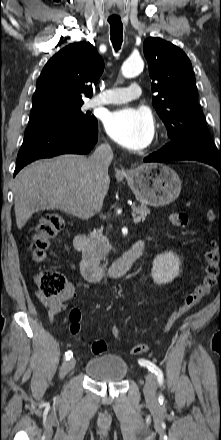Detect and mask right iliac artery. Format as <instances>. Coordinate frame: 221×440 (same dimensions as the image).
Here are the masks:
<instances>
[{
  "instance_id": "1",
  "label": "right iliac artery",
  "mask_w": 221,
  "mask_h": 440,
  "mask_svg": "<svg viewBox=\"0 0 221 440\" xmlns=\"http://www.w3.org/2000/svg\"><path fill=\"white\" fill-rule=\"evenodd\" d=\"M72 356H73V353L71 351H67L65 353L64 358H65V360H69Z\"/></svg>"
}]
</instances>
